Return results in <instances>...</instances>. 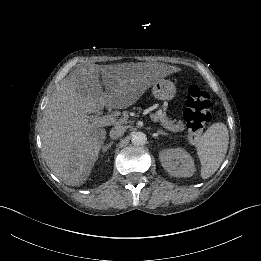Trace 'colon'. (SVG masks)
Instances as JSON below:
<instances>
[{
	"mask_svg": "<svg viewBox=\"0 0 261 261\" xmlns=\"http://www.w3.org/2000/svg\"><path fill=\"white\" fill-rule=\"evenodd\" d=\"M211 106V96L207 91L197 85L189 86L183 116L190 138L199 137L209 124L212 117Z\"/></svg>",
	"mask_w": 261,
	"mask_h": 261,
	"instance_id": "1",
	"label": "colon"
}]
</instances>
